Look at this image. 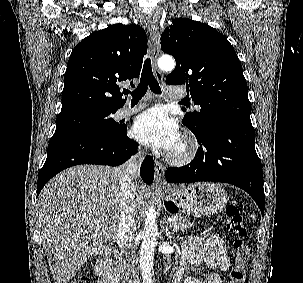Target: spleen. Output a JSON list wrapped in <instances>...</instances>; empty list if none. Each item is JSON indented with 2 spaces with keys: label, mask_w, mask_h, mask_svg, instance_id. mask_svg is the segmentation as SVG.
Returning a JSON list of instances; mask_svg holds the SVG:
<instances>
[{
  "label": "spleen",
  "mask_w": 303,
  "mask_h": 283,
  "mask_svg": "<svg viewBox=\"0 0 303 283\" xmlns=\"http://www.w3.org/2000/svg\"><path fill=\"white\" fill-rule=\"evenodd\" d=\"M252 218L254 219V218H255V216H254V215H252Z\"/></svg>",
  "instance_id": "3e777b00"
}]
</instances>
